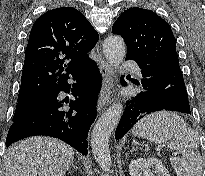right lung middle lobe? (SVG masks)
<instances>
[{
  "label": "right lung middle lobe",
  "mask_w": 205,
  "mask_h": 176,
  "mask_svg": "<svg viewBox=\"0 0 205 176\" xmlns=\"http://www.w3.org/2000/svg\"><path fill=\"white\" fill-rule=\"evenodd\" d=\"M45 94L46 92L31 96V97L18 99L13 121L18 119L34 102L39 100Z\"/></svg>",
  "instance_id": "dd1d6c3e"
}]
</instances>
